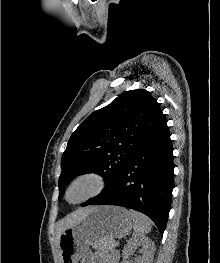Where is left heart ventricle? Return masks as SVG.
<instances>
[{
	"instance_id": "1",
	"label": "left heart ventricle",
	"mask_w": 220,
	"mask_h": 263,
	"mask_svg": "<svg viewBox=\"0 0 220 263\" xmlns=\"http://www.w3.org/2000/svg\"><path fill=\"white\" fill-rule=\"evenodd\" d=\"M91 187V184L89 182H83L81 184H79L72 192L71 194V198L72 199H77L81 196H83L84 194H86L89 189Z\"/></svg>"
}]
</instances>
